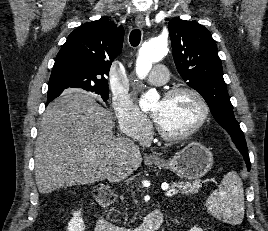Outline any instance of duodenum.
Returning <instances> with one entry per match:
<instances>
[{
  "instance_id": "obj_1",
  "label": "duodenum",
  "mask_w": 268,
  "mask_h": 231,
  "mask_svg": "<svg viewBox=\"0 0 268 231\" xmlns=\"http://www.w3.org/2000/svg\"><path fill=\"white\" fill-rule=\"evenodd\" d=\"M95 199L99 201L102 205L111 203L113 199V193L109 186L104 185L99 187L94 192ZM96 228L95 231H154L161 225L162 219L160 211L155 209L149 212L143 223L132 230L118 227L114 223L107 220L100 211L95 214Z\"/></svg>"
}]
</instances>
